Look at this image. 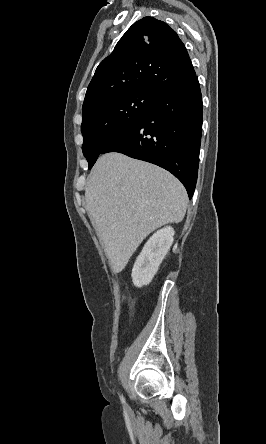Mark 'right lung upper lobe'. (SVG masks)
<instances>
[{
	"label": "right lung upper lobe",
	"mask_w": 266,
	"mask_h": 444,
	"mask_svg": "<svg viewBox=\"0 0 266 444\" xmlns=\"http://www.w3.org/2000/svg\"><path fill=\"white\" fill-rule=\"evenodd\" d=\"M196 76L185 45L165 22L144 17L121 37L97 67L82 110L117 93L146 91L157 96Z\"/></svg>",
	"instance_id": "1"
}]
</instances>
